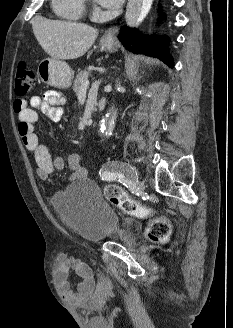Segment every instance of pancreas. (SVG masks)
Returning <instances> with one entry per match:
<instances>
[{
	"label": "pancreas",
	"mask_w": 233,
	"mask_h": 328,
	"mask_svg": "<svg viewBox=\"0 0 233 328\" xmlns=\"http://www.w3.org/2000/svg\"><path fill=\"white\" fill-rule=\"evenodd\" d=\"M89 75H90V72L88 69L82 70L77 74V76L74 80V85H73V91L76 95L79 93L82 84L85 82V80L88 79Z\"/></svg>",
	"instance_id": "1"
}]
</instances>
